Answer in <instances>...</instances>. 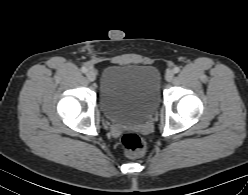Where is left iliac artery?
I'll use <instances>...</instances> for the list:
<instances>
[{"instance_id":"left-iliac-artery-1","label":"left iliac artery","mask_w":248,"mask_h":195,"mask_svg":"<svg viewBox=\"0 0 248 195\" xmlns=\"http://www.w3.org/2000/svg\"><path fill=\"white\" fill-rule=\"evenodd\" d=\"M173 71H174V73H178V72L180 71V69H179V67H175V68L173 69Z\"/></svg>"}]
</instances>
